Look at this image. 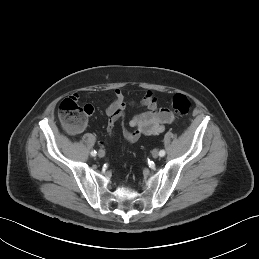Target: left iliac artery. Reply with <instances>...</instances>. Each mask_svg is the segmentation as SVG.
Segmentation results:
<instances>
[{"mask_svg":"<svg viewBox=\"0 0 259 259\" xmlns=\"http://www.w3.org/2000/svg\"><path fill=\"white\" fill-rule=\"evenodd\" d=\"M165 153H166L165 150H160L159 156L163 157L165 155Z\"/></svg>","mask_w":259,"mask_h":259,"instance_id":"left-iliac-artery-1","label":"left iliac artery"}]
</instances>
